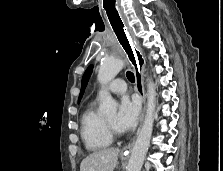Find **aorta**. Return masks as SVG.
<instances>
[{
	"label": "aorta",
	"mask_w": 223,
	"mask_h": 171,
	"mask_svg": "<svg viewBox=\"0 0 223 171\" xmlns=\"http://www.w3.org/2000/svg\"><path fill=\"white\" fill-rule=\"evenodd\" d=\"M124 67L122 59H105L98 71V81L104 87L109 83ZM103 102L100 110L103 114L114 115L117 112V103L112 96L102 90ZM156 108V91L151 80L148 82L147 105L144 122L138 134L137 140L131 152V156L126 171H141L152 136L154 116Z\"/></svg>",
	"instance_id": "aorta-1"
}]
</instances>
